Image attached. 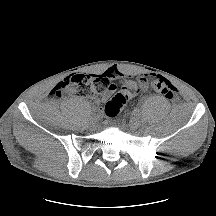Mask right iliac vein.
<instances>
[{
    "instance_id": "obj_1",
    "label": "right iliac vein",
    "mask_w": 216,
    "mask_h": 216,
    "mask_svg": "<svg viewBox=\"0 0 216 216\" xmlns=\"http://www.w3.org/2000/svg\"><path fill=\"white\" fill-rule=\"evenodd\" d=\"M92 124H95L97 122V117L95 115H93L90 119Z\"/></svg>"
}]
</instances>
